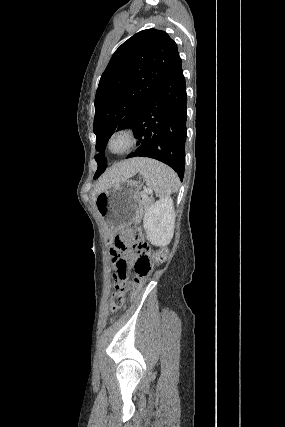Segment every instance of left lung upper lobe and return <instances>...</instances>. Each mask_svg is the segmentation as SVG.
I'll return each mask as SVG.
<instances>
[{
	"label": "left lung upper lobe",
	"mask_w": 285,
	"mask_h": 427,
	"mask_svg": "<svg viewBox=\"0 0 285 427\" xmlns=\"http://www.w3.org/2000/svg\"><path fill=\"white\" fill-rule=\"evenodd\" d=\"M176 43L164 31L134 34L113 54L95 97L93 131L98 163L94 179L106 169L104 150L115 130L132 126L138 113L179 59Z\"/></svg>",
	"instance_id": "obj_1"
}]
</instances>
